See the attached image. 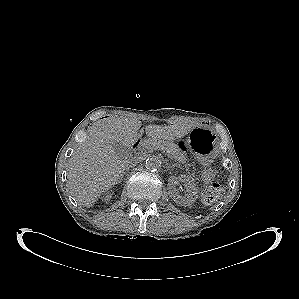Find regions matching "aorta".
<instances>
[{
    "instance_id": "762f6f07",
    "label": "aorta",
    "mask_w": 299,
    "mask_h": 299,
    "mask_svg": "<svg viewBox=\"0 0 299 299\" xmlns=\"http://www.w3.org/2000/svg\"><path fill=\"white\" fill-rule=\"evenodd\" d=\"M162 161L156 156H150L145 160V168L149 171H157L161 168Z\"/></svg>"
}]
</instances>
